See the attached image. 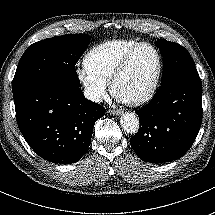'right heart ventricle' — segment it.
<instances>
[{"label": "right heart ventricle", "mask_w": 215, "mask_h": 215, "mask_svg": "<svg viewBox=\"0 0 215 215\" xmlns=\"http://www.w3.org/2000/svg\"><path fill=\"white\" fill-rule=\"evenodd\" d=\"M138 41L112 40L92 48L83 59L84 70L95 79L109 83L119 62Z\"/></svg>", "instance_id": "right-heart-ventricle-1"}]
</instances>
